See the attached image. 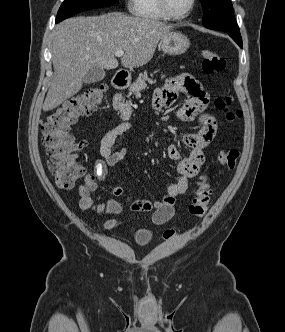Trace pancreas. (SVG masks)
Segmentation results:
<instances>
[{"mask_svg":"<svg viewBox=\"0 0 285 332\" xmlns=\"http://www.w3.org/2000/svg\"><path fill=\"white\" fill-rule=\"evenodd\" d=\"M155 71L154 73H157ZM164 76H162L163 78ZM148 81L150 84H154L156 81L148 77L147 72L140 74L136 81L130 85L129 91L130 94L135 95L137 98L141 97V91L146 89ZM114 107L121 111V116L124 118H129L132 113L131 101H126L122 98L121 95H116L114 98Z\"/></svg>","mask_w":285,"mask_h":332,"instance_id":"pancreas-1","label":"pancreas"}]
</instances>
